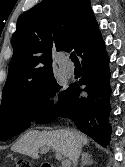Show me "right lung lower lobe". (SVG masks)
<instances>
[{
    "mask_svg": "<svg viewBox=\"0 0 125 167\" xmlns=\"http://www.w3.org/2000/svg\"><path fill=\"white\" fill-rule=\"evenodd\" d=\"M83 76L74 83L61 102L51 106L36 123H50L58 117L74 121L80 131L105 146L109 143L111 127L109 97V58L100 32L82 49ZM80 86H84L80 88ZM86 92L85 96L80 93Z\"/></svg>",
    "mask_w": 125,
    "mask_h": 167,
    "instance_id": "98d812e1",
    "label": "right lung lower lobe"
}]
</instances>
